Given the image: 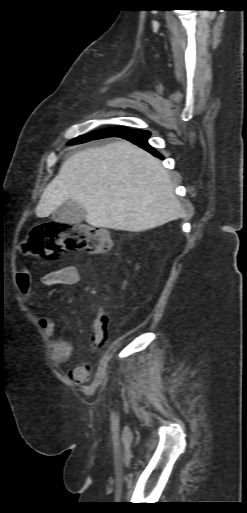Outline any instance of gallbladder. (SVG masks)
Returning <instances> with one entry per match:
<instances>
[{
  "instance_id": "bac80fb5",
  "label": "gallbladder",
  "mask_w": 247,
  "mask_h": 513,
  "mask_svg": "<svg viewBox=\"0 0 247 513\" xmlns=\"http://www.w3.org/2000/svg\"><path fill=\"white\" fill-rule=\"evenodd\" d=\"M86 211L76 202L67 201L52 214V219L69 224H78L85 219Z\"/></svg>"
}]
</instances>
